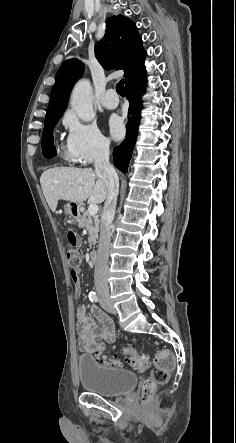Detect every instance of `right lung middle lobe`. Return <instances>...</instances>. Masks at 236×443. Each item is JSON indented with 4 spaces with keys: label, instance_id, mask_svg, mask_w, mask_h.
<instances>
[{
    "label": "right lung middle lobe",
    "instance_id": "dd1d6c3e",
    "mask_svg": "<svg viewBox=\"0 0 236 443\" xmlns=\"http://www.w3.org/2000/svg\"><path fill=\"white\" fill-rule=\"evenodd\" d=\"M61 115L62 114L45 120L44 130H43V135H42V140H41V145L43 147V151L49 150L50 148L54 147L52 132H53V129H54L55 125L57 124L59 118L61 117Z\"/></svg>",
    "mask_w": 236,
    "mask_h": 443
}]
</instances>
